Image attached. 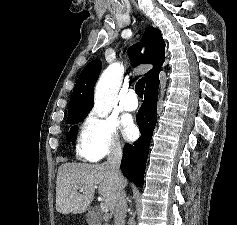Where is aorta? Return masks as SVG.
Masks as SVG:
<instances>
[{"instance_id": "1", "label": "aorta", "mask_w": 237, "mask_h": 225, "mask_svg": "<svg viewBox=\"0 0 237 225\" xmlns=\"http://www.w3.org/2000/svg\"><path fill=\"white\" fill-rule=\"evenodd\" d=\"M123 68L119 63L109 65L99 78L94 93V113L106 117L116 104Z\"/></svg>"}]
</instances>
